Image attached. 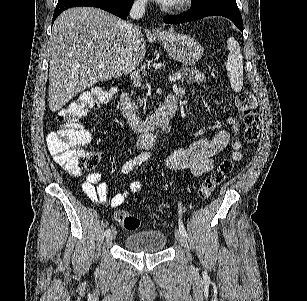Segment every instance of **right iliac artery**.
Here are the masks:
<instances>
[{
    "mask_svg": "<svg viewBox=\"0 0 307 301\" xmlns=\"http://www.w3.org/2000/svg\"><path fill=\"white\" fill-rule=\"evenodd\" d=\"M147 159H148V155L147 154H140V155H138L137 157H135L132 160L127 161L123 165L122 172L125 173V174L128 173L129 171H131L135 167V165H138V164L140 165L142 162H144ZM110 232H111V230L107 229L105 231V235L106 236L109 235Z\"/></svg>",
    "mask_w": 307,
    "mask_h": 301,
    "instance_id": "82829eb1",
    "label": "right iliac artery"
}]
</instances>
